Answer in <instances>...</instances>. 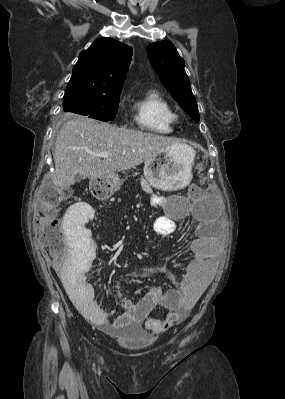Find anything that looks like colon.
Returning <instances> with one entry per match:
<instances>
[{"instance_id":"1","label":"colon","mask_w":285,"mask_h":399,"mask_svg":"<svg viewBox=\"0 0 285 399\" xmlns=\"http://www.w3.org/2000/svg\"><path fill=\"white\" fill-rule=\"evenodd\" d=\"M92 190L96 192L95 187H92ZM67 195V191L57 187L45 188L41 193L39 216L35 223L37 236L43 240L47 251L60 266L66 265L70 257L69 252L76 256L78 251L77 245L69 247L63 225L56 215L57 208ZM188 196L191 200H199L204 196V190L198 185H192L188 189ZM157 322V319L148 318L145 323L148 328H153Z\"/></svg>"}]
</instances>
